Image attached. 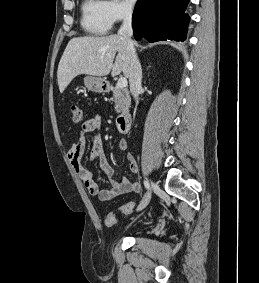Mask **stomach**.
<instances>
[{"mask_svg": "<svg viewBox=\"0 0 259 283\" xmlns=\"http://www.w3.org/2000/svg\"><path fill=\"white\" fill-rule=\"evenodd\" d=\"M85 87L92 92L102 93L107 90L106 81L100 77L86 76L84 78Z\"/></svg>", "mask_w": 259, "mask_h": 283, "instance_id": "obj_1", "label": "stomach"}]
</instances>
